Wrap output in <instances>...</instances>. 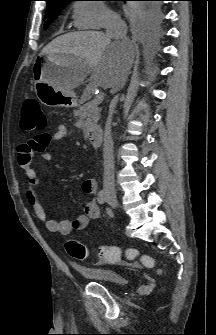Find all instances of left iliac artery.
I'll return each instance as SVG.
<instances>
[{"instance_id":"1","label":"left iliac artery","mask_w":216,"mask_h":335,"mask_svg":"<svg viewBox=\"0 0 216 335\" xmlns=\"http://www.w3.org/2000/svg\"><path fill=\"white\" fill-rule=\"evenodd\" d=\"M106 211L109 215L111 214V210L109 208H107Z\"/></svg>"}]
</instances>
